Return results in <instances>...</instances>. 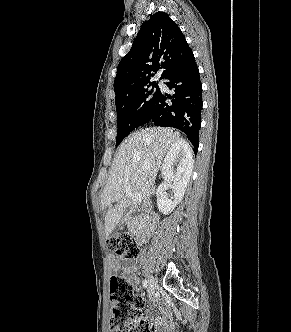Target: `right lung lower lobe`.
<instances>
[{
  "instance_id": "98d812e1",
  "label": "right lung lower lobe",
  "mask_w": 291,
  "mask_h": 332,
  "mask_svg": "<svg viewBox=\"0 0 291 332\" xmlns=\"http://www.w3.org/2000/svg\"><path fill=\"white\" fill-rule=\"evenodd\" d=\"M166 85L174 89L173 97L160 92L141 125L153 122L157 126L174 127L183 131L197 153L201 128L202 85L199 70L193 57L170 71ZM172 99V104L166 100ZM140 125V126H141Z\"/></svg>"
}]
</instances>
